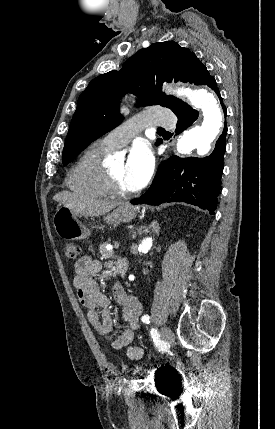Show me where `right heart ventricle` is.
<instances>
[{
    "mask_svg": "<svg viewBox=\"0 0 275 429\" xmlns=\"http://www.w3.org/2000/svg\"><path fill=\"white\" fill-rule=\"evenodd\" d=\"M110 151L101 142L93 143L71 170L68 177L69 188L93 199L109 197L107 173L102 159Z\"/></svg>",
    "mask_w": 275,
    "mask_h": 429,
    "instance_id": "e07e8e85",
    "label": "right heart ventricle"
}]
</instances>
